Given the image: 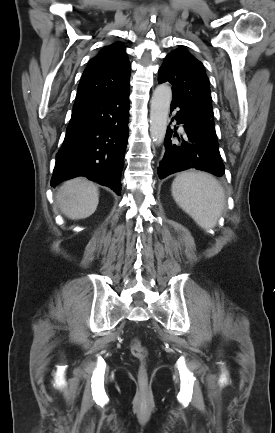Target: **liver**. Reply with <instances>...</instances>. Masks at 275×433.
<instances>
[{"label":"liver","instance_id":"1","mask_svg":"<svg viewBox=\"0 0 275 433\" xmlns=\"http://www.w3.org/2000/svg\"><path fill=\"white\" fill-rule=\"evenodd\" d=\"M61 212L72 220L91 216L99 203V192L95 184L85 178H74L63 183L56 194Z\"/></svg>","mask_w":275,"mask_h":433}]
</instances>
